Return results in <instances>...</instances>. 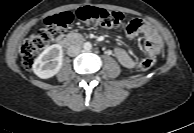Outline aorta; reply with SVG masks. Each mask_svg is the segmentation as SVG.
Returning a JSON list of instances; mask_svg holds the SVG:
<instances>
[{"label":"aorta","instance_id":"1","mask_svg":"<svg viewBox=\"0 0 194 133\" xmlns=\"http://www.w3.org/2000/svg\"><path fill=\"white\" fill-rule=\"evenodd\" d=\"M83 48H84L85 51H89L92 48V44L90 42H85L83 44Z\"/></svg>","mask_w":194,"mask_h":133}]
</instances>
